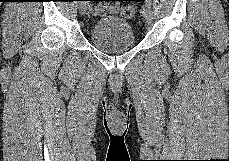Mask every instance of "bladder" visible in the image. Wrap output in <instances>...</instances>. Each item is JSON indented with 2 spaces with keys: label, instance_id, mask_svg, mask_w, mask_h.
<instances>
[{
  "label": "bladder",
  "instance_id": "bladder-1",
  "mask_svg": "<svg viewBox=\"0 0 229 161\" xmlns=\"http://www.w3.org/2000/svg\"><path fill=\"white\" fill-rule=\"evenodd\" d=\"M91 42L104 51H121L132 48L136 37L132 26L120 17H102L92 26Z\"/></svg>",
  "mask_w": 229,
  "mask_h": 161
}]
</instances>
